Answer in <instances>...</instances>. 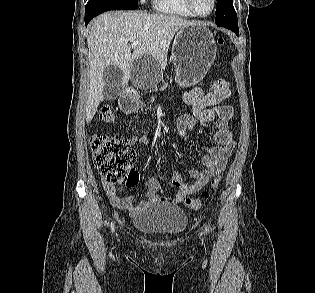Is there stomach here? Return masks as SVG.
<instances>
[{"label": "stomach", "instance_id": "1", "mask_svg": "<svg viewBox=\"0 0 315 293\" xmlns=\"http://www.w3.org/2000/svg\"><path fill=\"white\" fill-rule=\"evenodd\" d=\"M216 42L211 31L202 24L182 28L172 47L175 81L181 87L199 83L206 75L216 56ZM119 110H139L145 96L137 92H120Z\"/></svg>", "mask_w": 315, "mask_h": 293}]
</instances>
